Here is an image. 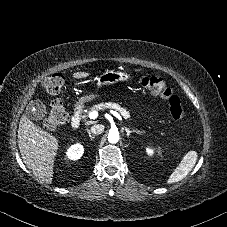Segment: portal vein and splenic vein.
Segmentation results:
<instances>
[{
    "label": "portal vein and splenic vein",
    "mask_w": 227,
    "mask_h": 227,
    "mask_svg": "<svg viewBox=\"0 0 227 227\" xmlns=\"http://www.w3.org/2000/svg\"><path fill=\"white\" fill-rule=\"evenodd\" d=\"M113 114L119 119V120H122V117L116 113V112H113ZM98 117V112L97 111H92L89 113V118L90 119H96Z\"/></svg>",
    "instance_id": "obj_1"
}]
</instances>
